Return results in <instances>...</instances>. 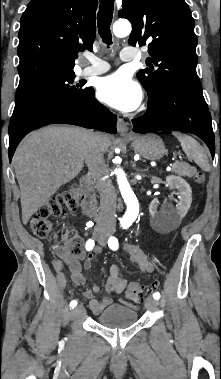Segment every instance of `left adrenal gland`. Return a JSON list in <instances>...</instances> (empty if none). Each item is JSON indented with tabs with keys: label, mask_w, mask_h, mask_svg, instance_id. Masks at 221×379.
<instances>
[{
	"label": "left adrenal gland",
	"mask_w": 221,
	"mask_h": 379,
	"mask_svg": "<svg viewBox=\"0 0 221 379\" xmlns=\"http://www.w3.org/2000/svg\"><path fill=\"white\" fill-rule=\"evenodd\" d=\"M132 167L135 169L136 168V165H135V163L134 162H132ZM138 171H141V172H143V171H145V169H137Z\"/></svg>",
	"instance_id": "1"
}]
</instances>
